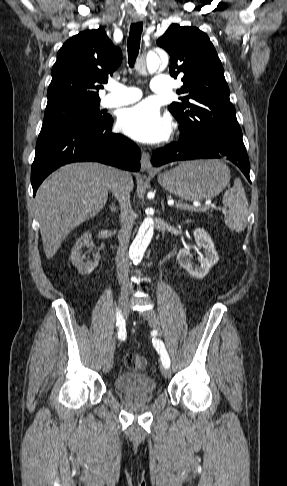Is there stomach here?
Listing matches in <instances>:
<instances>
[{
  "instance_id": "1",
  "label": "stomach",
  "mask_w": 287,
  "mask_h": 486,
  "mask_svg": "<svg viewBox=\"0 0 287 486\" xmlns=\"http://www.w3.org/2000/svg\"><path fill=\"white\" fill-rule=\"evenodd\" d=\"M229 180V168L220 160L186 161L158 174V182L165 190L189 201L214 198Z\"/></svg>"
}]
</instances>
